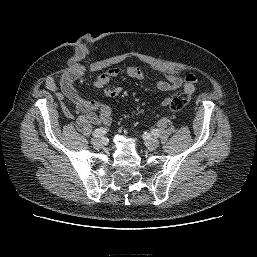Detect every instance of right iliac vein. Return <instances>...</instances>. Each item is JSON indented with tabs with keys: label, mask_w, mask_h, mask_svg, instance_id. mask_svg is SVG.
<instances>
[{
	"label": "right iliac vein",
	"mask_w": 257,
	"mask_h": 257,
	"mask_svg": "<svg viewBox=\"0 0 257 257\" xmlns=\"http://www.w3.org/2000/svg\"><path fill=\"white\" fill-rule=\"evenodd\" d=\"M93 146L95 148H100L103 146L104 144V141L101 139V138H98V137H94L92 140H91Z\"/></svg>",
	"instance_id": "1"
}]
</instances>
